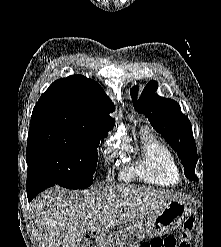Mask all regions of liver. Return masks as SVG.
<instances>
[{"label": "liver", "instance_id": "1", "mask_svg": "<svg viewBox=\"0 0 221 247\" xmlns=\"http://www.w3.org/2000/svg\"><path fill=\"white\" fill-rule=\"evenodd\" d=\"M167 191L133 185L87 190L82 195L51 188L37 196L29 212L45 247H79L88 231H109L150 216L174 198Z\"/></svg>", "mask_w": 221, "mask_h": 247}]
</instances>
